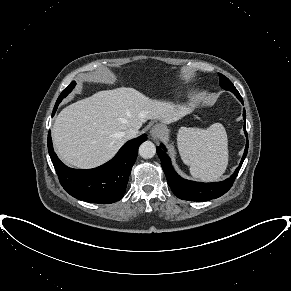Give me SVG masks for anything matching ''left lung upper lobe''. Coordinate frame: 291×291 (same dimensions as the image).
Masks as SVG:
<instances>
[{
    "mask_svg": "<svg viewBox=\"0 0 291 291\" xmlns=\"http://www.w3.org/2000/svg\"><path fill=\"white\" fill-rule=\"evenodd\" d=\"M219 79H220L219 82H220L221 88L233 92L236 96L240 95L237 89L234 87V85L231 83V81L227 77H225L222 74H219Z\"/></svg>",
    "mask_w": 291,
    "mask_h": 291,
    "instance_id": "left-lung-upper-lobe-1",
    "label": "left lung upper lobe"
}]
</instances>
